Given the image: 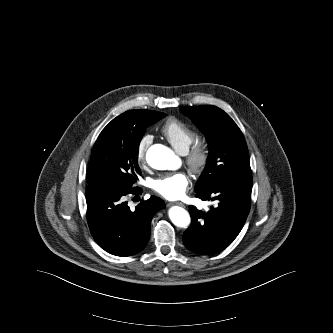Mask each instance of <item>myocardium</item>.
I'll return each instance as SVG.
<instances>
[{
    "instance_id": "1",
    "label": "myocardium",
    "mask_w": 333,
    "mask_h": 333,
    "mask_svg": "<svg viewBox=\"0 0 333 333\" xmlns=\"http://www.w3.org/2000/svg\"><path fill=\"white\" fill-rule=\"evenodd\" d=\"M186 154V164L196 175L202 174L210 159V145L206 139L196 140Z\"/></svg>"
}]
</instances>
